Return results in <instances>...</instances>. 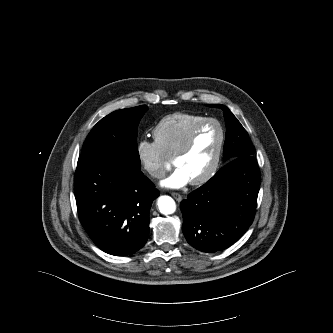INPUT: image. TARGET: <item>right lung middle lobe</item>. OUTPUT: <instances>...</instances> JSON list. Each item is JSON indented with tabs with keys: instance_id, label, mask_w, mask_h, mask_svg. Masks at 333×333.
I'll use <instances>...</instances> for the list:
<instances>
[{
	"instance_id": "dd1d6c3e",
	"label": "right lung middle lobe",
	"mask_w": 333,
	"mask_h": 333,
	"mask_svg": "<svg viewBox=\"0 0 333 333\" xmlns=\"http://www.w3.org/2000/svg\"><path fill=\"white\" fill-rule=\"evenodd\" d=\"M147 110L142 105L117 110L101 119L86 138L81 157L94 158L115 155L140 167L137 149L138 124Z\"/></svg>"
}]
</instances>
